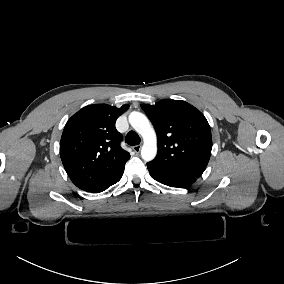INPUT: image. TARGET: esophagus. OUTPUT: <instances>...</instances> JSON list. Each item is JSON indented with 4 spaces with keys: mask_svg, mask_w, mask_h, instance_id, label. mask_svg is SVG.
Wrapping results in <instances>:
<instances>
[{
    "mask_svg": "<svg viewBox=\"0 0 284 284\" xmlns=\"http://www.w3.org/2000/svg\"><path fill=\"white\" fill-rule=\"evenodd\" d=\"M132 148H133V150H134L136 153H139L140 150H141V145H135V146H133Z\"/></svg>",
    "mask_w": 284,
    "mask_h": 284,
    "instance_id": "esophagus-1",
    "label": "esophagus"
}]
</instances>
